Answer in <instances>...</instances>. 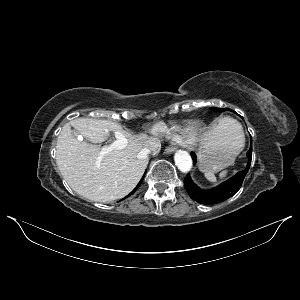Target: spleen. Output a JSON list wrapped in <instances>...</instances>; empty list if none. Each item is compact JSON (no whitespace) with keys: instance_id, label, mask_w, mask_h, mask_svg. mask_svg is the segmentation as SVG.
I'll return each mask as SVG.
<instances>
[{"instance_id":"obj_1","label":"spleen","mask_w":300,"mask_h":300,"mask_svg":"<svg viewBox=\"0 0 300 300\" xmlns=\"http://www.w3.org/2000/svg\"><path fill=\"white\" fill-rule=\"evenodd\" d=\"M220 125H222L224 128H227L233 135L238 137L244 143V134H243L242 126L240 125L239 122H237L236 120H234L232 118L225 117L220 121ZM227 173H228V171L224 170V171L220 172L219 177L221 179H223L226 177ZM204 174H205L206 179L209 180L210 182L216 181V177L213 172L205 171Z\"/></svg>"}]
</instances>
